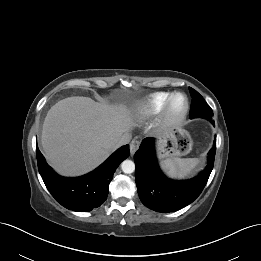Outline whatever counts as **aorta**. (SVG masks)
Segmentation results:
<instances>
[{
  "instance_id": "obj_1",
  "label": "aorta",
  "mask_w": 261,
  "mask_h": 261,
  "mask_svg": "<svg viewBox=\"0 0 261 261\" xmlns=\"http://www.w3.org/2000/svg\"><path fill=\"white\" fill-rule=\"evenodd\" d=\"M121 169L125 174H131L135 171V164L131 160H124L121 163Z\"/></svg>"
}]
</instances>
